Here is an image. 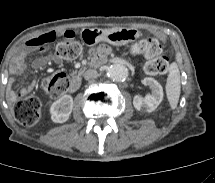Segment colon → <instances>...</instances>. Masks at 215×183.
<instances>
[{
	"label": "colon",
	"mask_w": 215,
	"mask_h": 183,
	"mask_svg": "<svg viewBox=\"0 0 215 183\" xmlns=\"http://www.w3.org/2000/svg\"><path fill=\"white\" fill-rule=\"evenodd\" d=\"M44 44H36L35 50H40ZM82 48L75 40L72 31L65 33L64 38L56 46V54L62 59H75L81 54ZM132 54H142L149 61L145 64V71L150 75L163 74L168 70L169 57L162 55L161 43L153 37L140 39L131 46ZM69 86V80L65 74L57 73L46 77L42 82L43 90L51 97L62 95ZM16 120L27 127L37 125L42 118V103L35 96H27L19 99L14 105Z\"/></svg>",
	"instance_id": "obj_1"
}]
</instances>
